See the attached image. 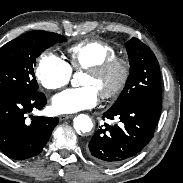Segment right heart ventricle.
Returning a JSON list of instances; mask_svg holds the SVG:
<instances>
[{
	"label": "right heart ventricle",
	"mask_w": 183,
	"mask_h": 183,
	"mask_svg": "<svg viewBox=\"0 0 183 183\" xmlns=\"http://www.w3.org/2000/svg\"><path fill=\"white\" fill-rule=\"evenodd\" d=\"M68 66L71 71L85 70L117 55L111 44L101 40H85L67 49Z\"/></svg>",
	"instance_id": "e07e8e85"
}]
</instances>
